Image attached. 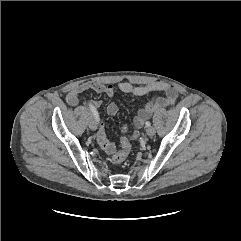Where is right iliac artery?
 Listing matches in <instances>:
<instances>
[{
	"instance_id": "right-iliac-artery-1",
	"label": "right iliac artery",
	"mask_w": 241,
	"mask_h": 241,
	"mask_svg": "<svg viewBox=\"0 0 241 241\" xmlns=\"http://www.w3.org/2000/svg\"><path fill=\"white\" fill-rule=\"evenodd\" d=\"M89 108L91 109V111H92V113L94 115V118L98 122L99 121V115H98V112H97L96 108L93 107L92 105H89Z\"/></svg>"
}]
</instances>
